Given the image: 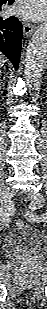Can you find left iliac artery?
Segmentation results:
<instances>
[{
    "instance_id": "44dca946",
    "label": "left iliac artery",
    "mask_w": 47,
    "mask_h": 309,
    "mask_svg": "<svg viewBox=\"0 0 47 309\" xmlns=\"http://www.w3.org/2000/svg\"><path fill=\"white\" fill-rule=\"evenodd\" d=\"M31 219L33 221H42V220H46L47 217L45 215L38 216V215L31 214Z\"/></svg>"
}]
</instances>
